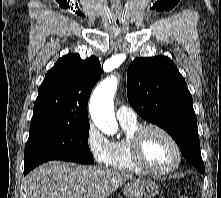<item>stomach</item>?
<instances>
[{"mask_svg": "<svg viewBox=\"0 0 221 198\" xmlns=\"http://www.w3.org/2000/svg\"><path fill=\"white\" fill-rule=\"evenodd\" d=\"M158 192V185L146 179L131 180L123 188V193L127 198H154Z\"/></svg>", "mask_w": 221, "mask_h": 198, "instance_id": "1", "label": "stomach"}]
</instances>
